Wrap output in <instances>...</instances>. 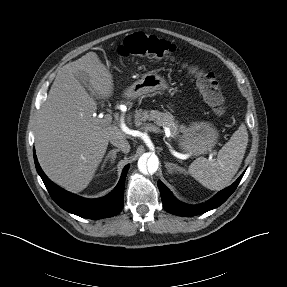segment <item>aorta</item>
<instances>
[{"mask_svg": "<svg viewBox=\"0 0 287 287\" xmlns=\"http://www.w3.org/2000/svg\"><path fill=\"white\" fill-rule=\"evenodd\" d=\"M159 166V160L156 155L150 157L142 156L138 161V168L142 173L153 174L157 171Z\"/></svg>", "mask_w": 287, "mask_h": 287, "instance_id": "1", "label": "aorta"}]
</instances>
